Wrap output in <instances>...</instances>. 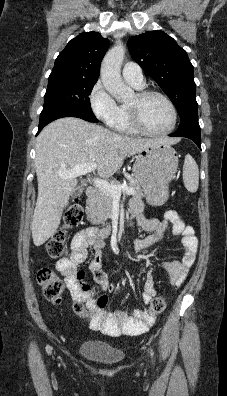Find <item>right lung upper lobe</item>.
Instances as JSON below:
<instances>
[{
  "label": "right lung upper lobe",
  "mask_w": 227,
  "mask_h": 396,
  "mask_svg": "<svg viewBox=\"0 0 227 396\" xmlns=\"http://www.w3.org/2000/svg\"><path fill=\"white\" fill-rule=\"evenodd\" d=\"M108 46V39L98 32L81 33L59 54L52 73L98 79L101 61Z\"/></svg>",
  "instance_id": "obj_1"
}]
</instances>
